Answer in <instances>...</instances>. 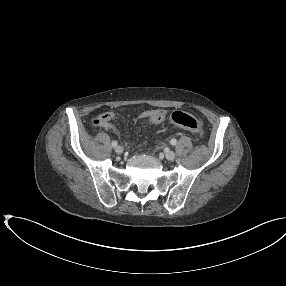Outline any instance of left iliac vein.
<instances>
[{"instance_id":"4c4485c4","label":"left iliac vein","mask_w":286,"mask_h":286,"mask_svg":"<svg viewBox=\"0 0 286 286\" xmlns=\"http://www.w3.org/2000/svg\"><path fill=\"white\" fill-rule=\"evenodd\" d=\"M164 156H165V158L167 159V160H174L175 159V157H176V154H175V152L174 151H167L165 154H164Z\"/></svg>"}]
</instances>
